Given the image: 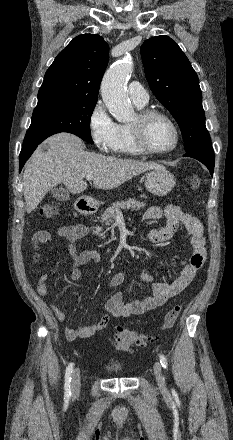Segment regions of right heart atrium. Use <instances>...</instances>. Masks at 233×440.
Wrapping results in <instances>:
<instances>
[{
    "label": "right heart atrium",
    "instance_id": "1",
    "mask_svg": "<svg viewBox=\"0 0 233 440\" xmlns=\"http://www.w3.org/2000/svg\"><path fill=\"white\" fill-rule=\"evenodd\" d=\"M88 127L92 141L99 151L116 152L120 125L114 121L101 100L95 103L89 114Z\"/></svg>",
    "mask_w": 233,
    "mask_h": 440
}]
</instances>
